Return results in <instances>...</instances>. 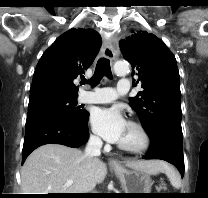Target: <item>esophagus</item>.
Returning <instances> with one entry per match:
<instances>
[{
	"instance_id": "1",
	"label": "esophagus",
	"mask_w": 208,
	"mask_h": 198,
	"mask_svg": "<svg viewBox=\"0 0 208 198\" xmlns=\"http://www.w3.org/2000/svg\"><path fill=\"white\" fill-rule=\"evenodd\" d=\"M103 55L106 58H109V59H113L114 58V55H115L114 54V48H113V46H112V44H111L110 41H107V42L104 43V46H103ZM109 164L111 166H114V167L119 166V163L116 160H114V159H111L109 161Z\"/></svg>"
}]
</instances>
